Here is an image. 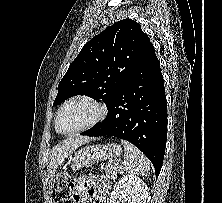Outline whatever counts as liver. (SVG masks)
I'll return each mask as SVG.
<instances>
[{
  "mask_svg": "<svg viewBox=\"0 0 222 203\" xmlns=\"http://www.w3.org/2000/svg\"><path fill=\"white\" fill-rule=\"evenodd\" d=\"M90 140H92V138L77 136L68 138L56 145L52 149L49 157V178L52 179L54 177L58 166L61 165L72 152H74L78 147L82 146L83 144L88 143Z\"/></svg>",
  "mask_w": 222,
  "mask_h": 203,
  "instance_id": "liver-1",
  "label": "liver"
}]
</instances>
